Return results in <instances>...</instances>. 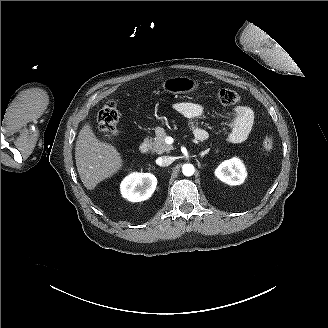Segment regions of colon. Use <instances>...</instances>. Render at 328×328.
Returning a JSON list of instances; mask_svg holds the SVG:
<instances>
[{"label":"colon","instance_id":"obj_1","mask_svg":"<svg viewBox=\"0 0 328 328\" xmlns=\"http://www.w3.org/2000/svg\"><path fill=\"white\" fill-rule=\"evenodd\" d=\"M220 104L227 106L237 103L240 100L239 94L231 89L222 88L217 93ZM119 119V112L115 102H107L98 113V126L105 138H110L114 132ZM265 152H271L274 141L270 135H266L262 141Z\"/></svg>","mask_w":328,"mask_h":328}]
</instances>
